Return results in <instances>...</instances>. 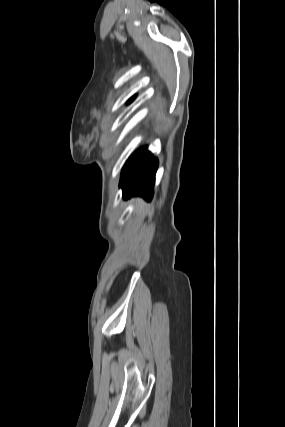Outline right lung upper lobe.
<instances>
[{
  "instance_id": "right-lung-upper-lobe-1",
  "label": "right lung upper lobe",
  "mask_w": 285,
  "mask_h": 427,
  "mask_svg": "<svg viewBox=\"0 0 285 427\" xmlns=\"http://www.w3.org/2000/svg\"><path fill=\"white\" fill-rule=\"evenodd\" d=\"M133 99H134V97H133V98H131V99L129 100V102H131Z\"/></svg>"
}]
</instances>
